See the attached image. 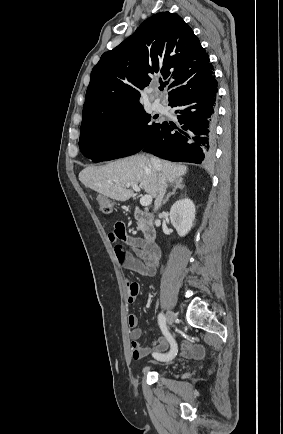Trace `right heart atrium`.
<instances>
[{"instance_id":"right-heart-atrium-1","label":"right heart atrium","mask_w":283,"mask_h":434,"mask_svg":"<svg viewBox=\"0 0 283 434\" xmlns=\"http://www.w3.org/2000/svg\"><path fill=\"white\" fill-rule=\"evenodd\" d=\"M137 131V125L135 123H129L122 129V136L125 138L132 137Z\"/></svg>"}]
</instances>
